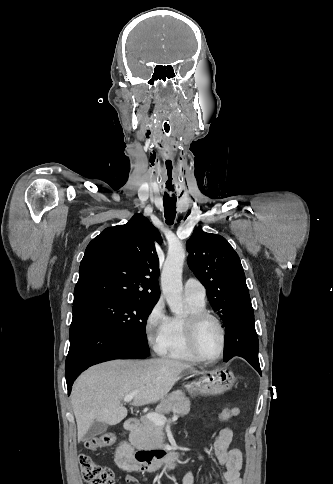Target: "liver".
<instances>
[{
	"label": "liver",
	"mask_w": 333,
	"mask_h": 484,
	"mask_svg": "<svg viewBox=\"0 0 333 484\" xmlns=\"http://www.w3.org/2000/svg\"><path fill=\"white\" fill-rule=\"evenodd\" d=\"M196 369L183 362L151 358L113 360L95 365L81 374L71 392L78 441L95 421L116 425L127 416L122 400L136 393L132 405L144 406L163 399L182 373Z\"/></svg>",
	"instance_id": "obj_1"
}]
</instances>
